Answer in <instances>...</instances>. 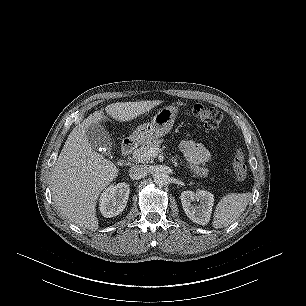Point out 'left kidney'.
<instances>
[{"instance_id": "1", "label": "left kidney", "mask_w": 306, "mask_h": 306, "mask_svg": "<svg viewBox=\"0 0 306 306\" xmlns=\"http://www.w3.org/2000/svg\"><path fill=\"white\" fill-rule=\"evenodd\" d=\"M185 214L194 223L206 225L210 221L212 208L214 205V195L208 191L200 190L198 192L183 191L180 196ZM194 201H200L197 206Z\"/></svg>"}]
</instances>
